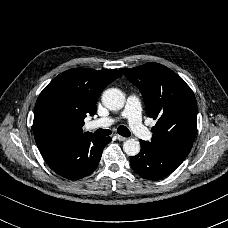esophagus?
<instances>
[{
	"label": "esophagus",
	"instance_id": "obj_1",
	"mask_svg": "<svg viewBox=\"0 0 228 228\" xmlns=\"http://www.w3.org/2000/svg\"><path fill=\"white\" fill-rule=\"evenodd\" d=\"M116 137H117V139H118L119 141H124V140L127 139L126 137H123V136H121V135H116Z\"/></svg>",
	"mask_w": 228,
	"mask_h": 228
}]
</instances>
